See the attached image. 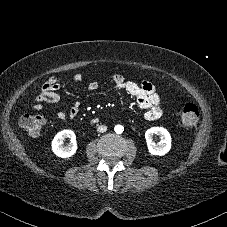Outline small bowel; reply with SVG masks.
<instances>
[{
	"label": "small bowel",
	"instance_id": "obj_1",
	"mask_svg": "<svg viewBox=\"0 0 227 227\" xmlns=\"http://www.w3.org/2000/svg\"><path fill=\"white\" fill-rule=\"evenodd\" d=\"M81 75H76L73 80L74 82L80 81ZM112 84L115 88L125 90L130 95L137 99V103L141 109L145 111V118L147 120H156L163 114V108L160 103L159 94L155 86L149 81H143L138 84L135 82L127 81L125 77L121 74L113 75ZM99 83L97 81L91 82L88 87V92H94L98 89ZM60 89V84L55 77H51L46 80L40 90L38 95L34 98L32 102V108L34 110H42L45 104H56L60 101V95L58 90ZM80 113V103L78 101L74 102L70 107L69 111L61 110L58 112V119L61 122H66L68 118L75 119Z\"/></svg>",
	"mask_w": 227,
	"mask_h": 227
}]
</instances>
